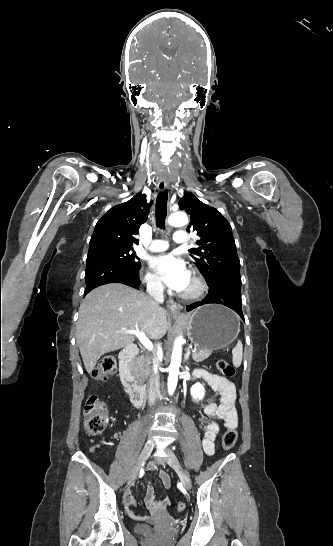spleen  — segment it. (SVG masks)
Masks as SVG:
<instances>
[{
	"label": "spleen",
	"instance_id": "1",
	"mask_svg": "<svg viewBox=\"0 0 333 546\" xmlns=\"http://www.w3.org/2000/svg\"><path fill=\"white\" fill-rule=\"evenodd\" d=\"M240 326V323H239ZM240 329L238 328V332ZM242 353H243V345L241 341H238L236 346L232 350L233 354V365L237 368L241 365L242 362Z\"/></svg>",
	"mask_w": 333,
	"mask_h": 546
}]
</instances>
